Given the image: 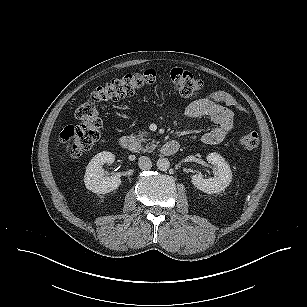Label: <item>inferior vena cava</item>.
<instances>
[{"label":"inferior vena cava","instance_id":"inferior-vena-cava-1","mask_svg":"<svg viewBox=\"0 0 307 307\" xmlns=\"http://www.w3.org/2000/svg\"><path fill=\"white\" fill-rule=\"evenodd\" d=\"M138 165L142 170H149L152 167V161L147 156H140L138 159Z\"/></svg>","mask_w":307,"mask_h":307}]
</instances>
